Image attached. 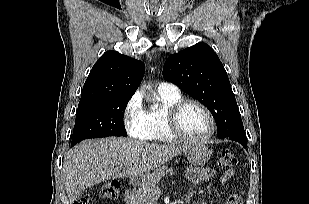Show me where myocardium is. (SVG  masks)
Returning a JSON list of instances; mask_svg holds the SVG:
<instances>
[{"instance_id": "f54148a6", "label": "myocardium", "mask_w": 309, "mask_h": 204, "mask_svg": "<svg viewBox=\"0 0 309 204\" xmlns=\"http://www.w3.org/2000/svg\"><path fill=\"white\" fill-rule=\"evenodd\" d=\"M190 104L196 105L199 108H201L209 120V123H210L209 131L206 135L202 137H193V136L186 134L179 125V116H180L181 111L183 110L185 106L190 105ZM166 124H167V128L169 132L175 139L184 140L189 143L206 142L212 138L216 130L215 118L212 112L210 111V109L205 104L200 102L199 100L191 99V98L180 99L179 101H177L176 103H174L172 106L168 108L167 113H166Z\"/></svg>"}]
</instances>
